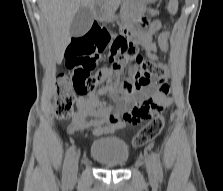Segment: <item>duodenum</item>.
<instances>
[{"label": "duodenum", "instance_id": "410a0bca", "mask_svg": "<svg viewBox=\"0 0 223 191\" xmlns=\"http://www.w3.org/2000/svg\"><path fill=\"white\" fill-rule=\"evenodd\" d=\"M102 10L99 7L94 8L93 14L97 17L101 14Z\"/></svg>", "mask_w": 223, "mask_h": 191}]
</instances>
